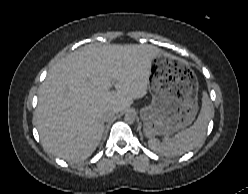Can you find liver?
<instances>
[{
	"label": "liver",
	"instance_id": "6515ba94",
	"mask_svg": "<svg viewBox=\"0 0 248 194\" xmlns=\"http://www.w3.org/2000/svg\"><path fill=\"white\" fill-rule=\"evenodd\" d=\"M160 52L148 44L89 45L58 61L39 88L34 113L44 149L74 163L91 156L105 115L146 95L152 57Z\"/></svg>",
	"mask_w": 248,
	"mask_h": 194
}]
</instances>
